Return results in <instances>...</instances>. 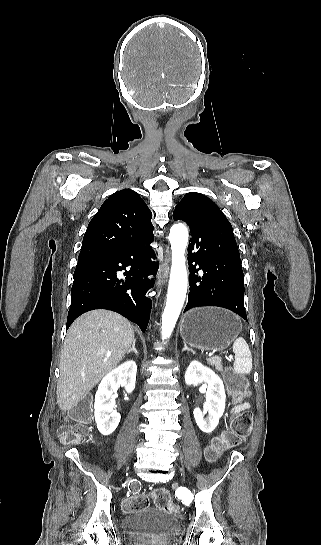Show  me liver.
Listing matches in <instances>:
<instances>
[{
  "mask_svg": "<svg viewBox=\"0 0 321 545\" xmlns=\"http://www.w3.org/2000/svg\"><path fill=\"white\" fill-rule=\"evenodd\" d=\"M134 329L112 311H89L74 321L64 341L60 359L57 403L70 411L113 371L130 349ZM107 359V361H104Z\"/></svg>",
  "mask_w": 321,
  "mask_h": 545,
  "instance_id": "1",
  "label": "liver"
}]
</instances>
